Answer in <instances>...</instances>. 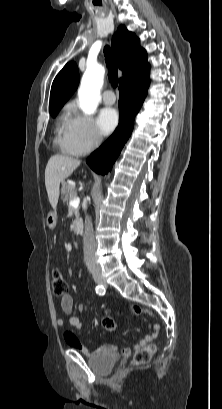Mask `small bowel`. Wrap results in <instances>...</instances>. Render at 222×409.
Instances as JSON below:
<instances>
[{
  "label": "small bowel",
  "mask_w": 222,
  "mask_h": 409,
  "mask_svg": "<svg viewBox=\"0 0 222 409\" xmlns=\"http://www.w3.org/2000/svg\"><path fill=\"white\" fill-rule=\"evenodd\" d=\"M61 309L62 311L69 317V323L72 327H74L75 329H81L82 327V322L80 320L79 317L73 315V299L71 297V295L66 294L62 297L61 299ZM78 310L80 312L83 311V306H79ZM112 321V320H111ZM56 324L59 328H63L65 325V322L62 318H58L56 320ZM153 331L147 335H145L135 346V349H140L143 346H145L147 343H150L152 341H154L157 338L158 335V330H159V326L157 324L153 325ZM64 340L65 342L73 349H76L78 351H80L81 353H83L84 355L87 356H96L100 353H105V352H111L113 350H115V347L112 345H103L100 346L99 348L95 349V350H90L86 347H84L80 341L77 339V337L68 331H65L64 334ZM121 353L123 355H129L131 353V349L129 347H122L121 348Z\"/></svg>",
  "instance_id": "small-bowel-1"
}]
</instances>
